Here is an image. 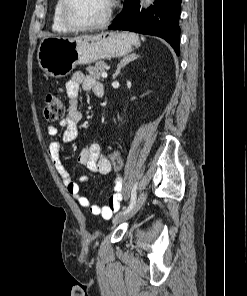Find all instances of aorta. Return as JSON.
Here are the masks:
<instances>
[{
	"label": "aorta",
	"instance_id": "obj_1",
	"mask_svg": "<svg viewBox=\"0 0 247 296\" xmlns=\"http://www.w3.org/2000/svg\"><path fill=\"white\" fill-rule=\"evenodd\" d=\"M153 2V0H145V5L148 6Z\"/></svg>",
	"mask_w": 247,
	"mask_h": 296
}]
</instances>
